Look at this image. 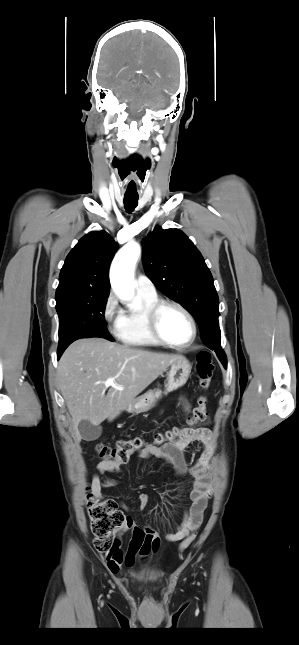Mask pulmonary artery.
<instances>
[{"label": "pulmonary artery", "mask_w": 299, "mask_h": 645, "mask_svg": "<svg viewBox=\"0 0 299 645\" xmlns=\"http://www.w3.org/2000/svg\"><path fill=\"white\" fill-rule=\"evenodd\" d=\"M136 290L149 295L156 294L153 282L145 275H139L136 279Z\"/></svg>", "instance_id": "obj_1"}]
</instances>
